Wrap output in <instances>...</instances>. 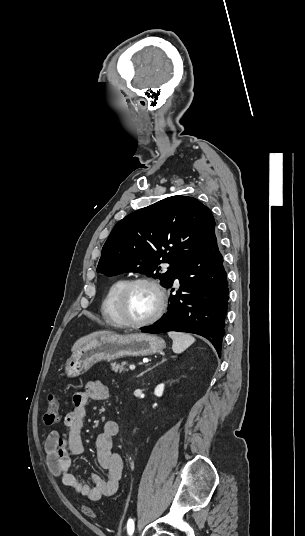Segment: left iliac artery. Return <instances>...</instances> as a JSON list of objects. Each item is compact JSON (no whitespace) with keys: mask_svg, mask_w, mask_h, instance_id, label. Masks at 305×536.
I'll list each match as a JSON object with an SVG mask.
<instances>
[{"mask_svg":"<svg viewBox=\"0 0 305 536\" xmlns=\"http://www.w3.org/2000/svg\"><path fill=\"white\" fill-rule=\"evenodd\" d=\"M127 532L129 536H131L134 532V521L133 519H129L127 522Z\"/></svg>","mask_w":305,"mask_h":536,"instance_id":"left-iliac-artery-1","label":"left iliac artery"}]
</instances>
